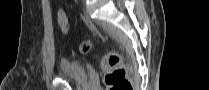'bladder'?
I'll list each match as a JSON object with an SVG mask.
<instances>
[{
	"label": "bladder",
	"instance_id": "bladder-1",
	"mask_svg": "<svg viewBox=\"0 0 209 90\" xmlns=\"http://www.w3.org/2000/svg\"><path fill=\"white\" fill-rule=\"evenodd\" d=\"M59 77L82 86H87L89 82L87 69L82 63L65 59L59 63Z\"/></svg>",
	"mask_w": 209,
	"mask_h": 90
}]
</instances>
